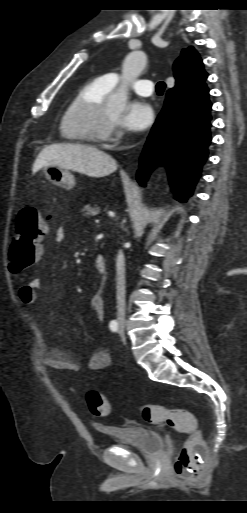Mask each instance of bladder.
Masks as SVG:
<instances>
[{
	"label": "bladder",
	"instance_id": "1",
	"mask_svg": "<svg viewBox=\"0 0 247 513\" xmlns=\"http://www.w3.org/2000/svg\"><path fill=\"white\" fill-rule=\"evenodd\" d=\"M99 431L110 435L114 445L135 448L144 454H155L164 449L162 436L144 427L100 426Z\"/></svg>",
	"mask_w": 247,
	"mask_h": 513
}]
</instances>
